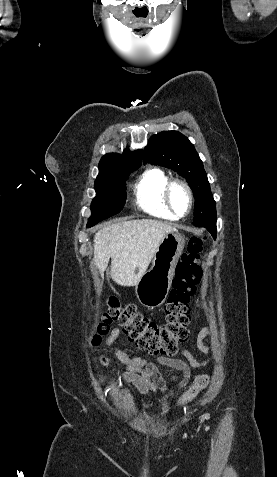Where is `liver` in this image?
<instances>
[{
    "instance_id": "6515ba94",
    "label": "liver",
    "mask_w": 277,
    "mask_h": 477,
    "mask_svg": "<svg viewBox=\"0 0 277 477\" xmlns=\"http://www.w3.org/2000/svg\"><path fill=\"white\" fill-rule=\"evenodd\" d=\"M176 228L157 220L124 221L99 230L94 236V261L101 276L111 258V278L121 286H134L164 238Z\"/></svg>"
}]
</instances>
